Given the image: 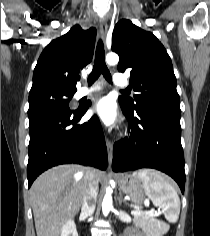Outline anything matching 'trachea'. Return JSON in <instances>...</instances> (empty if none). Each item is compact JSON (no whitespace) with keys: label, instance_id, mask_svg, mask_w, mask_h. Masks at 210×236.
<instances>
[{"label":"trachea","instance_id":"obj_1","mask_svg":"<svg viewBox=\"0 0 210 236\" xmlns=\"http://www.w3.org/2000/svg\"><path fill=\"white\" fill-rule=\"evenodd\" d=\"M104 45L102 40L100 39L97 43L96 47V54H95V61L94 66L91 74L88 76V84L92 85L100 76L103 74L104 78L109 82L112 83L111 74L105 64L104 60ZM126 92V91H123Z\"/></svg>","mask_w":210,"mask_h":236}]
</instances>
